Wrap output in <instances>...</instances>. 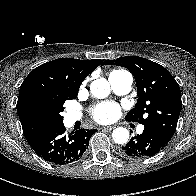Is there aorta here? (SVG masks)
I'll return each mask as SVG.
<instances>
[{
    "label": "aorta",
    "mask_w": 196,
    "mask_h": 196,
    "mask_svg": "<svg viewBox=\"0 0 196 196\" xmlns=\"http://www.w3.org/2000/svg\"><path fill=\"white\" fill-rule=\"evenodd\" d=\"M90 91L94 97L103 99L109 95L110 85L105 78H100L91 82ZM112 137L115 143L125 144L129 141V131L126 128L118 127L113 130Z\"/></svg>",
    "instance_id": "obj_1"
}]
</instances>
